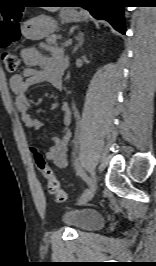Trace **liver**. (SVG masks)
I'll list each match as a JSON object with an SVG mask.
<instances>
[{"instance_id": "6515ba94", "label": "liver", "mask_w": 156, "mask_h": 266, "mask_svg": "<svg viewBox=\"0 0 156 266\" xmlns=\"http://www.w3.org/2000/svg\"><path fill=\"white\" fill-rule=\"evenodd\" d=\"M46 10L49 12H55L58 10V8L57 7H48V8H46Z\"/></svg>"}]
</instances>
